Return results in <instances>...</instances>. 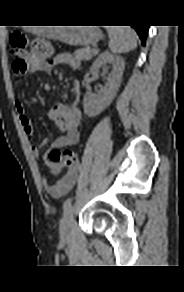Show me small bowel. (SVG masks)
I'll return each instance as SVG.
<instances>
[{
	"label": "small bowel",
	"instance_id": "small-bowel-1",
	"mask_svg": "<svg viewBox=\"0 0 184 292\" xmlns=\"http://www.w3.org/2000/svg\"><path fill=\"white\" fill-rule=\"evenodd\" d=\"M80 62L70 53L56 54L52 59L43 62L34 63L31 66L33 72L51 73L57 66L64 65L75 69ZM74 100L71 104H56L49 110V117L55 123L57 128L63 133L57 137L53 146L55 148L75 146L80 140L79 125L81 122V113L77 107L80 97L79 83L76 81L73 84ZM16 110L19 115L20 123L23 127L26 137L30 142L35 139L33 124L26 114L25 106L22 100L17 99L15 102ZM46 144L45 140L39 144H32L31 151L34 156L40 153V147ZM44 164L53 174H59L63 169H66L60 180L51 182L47 177L42 179L44 189L53 198H61L65 196L75 185L78 179V164L69 166L59 165L51 162L48 155H44Z\"/></svg>",
	"mask_w": 184,
	"mask_h": 292
}]
</instances>
